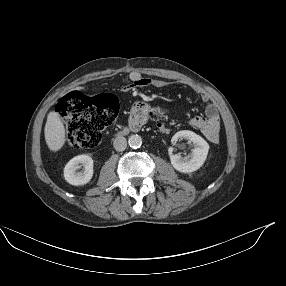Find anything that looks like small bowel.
I'll return each instance as SVG.
<instances>
[{"instance_id":"obj_1","label":"small bowel","mask_w":286,"mask_h":286,"mask_svg":"<svg viewBox=\"0 0 286 286\" xmlns=\"http://www.w3.org/2000/svg\"><path fill=\"white\" fill-rule=\"evenodd\" d=\"M128 83L123 87V91L125 92H134L139 88L144 87H153V88H161L165 86V82L159 79H150L142 76L138 72H131L128 75ZM195 91L200 96L202 101L207 103L206 106V115L205 116H195L189 119V125L198 130L199 132L202 131V128L209 123L217 124L220 127V115L216 105L212 102L210 95L201 88H195ZM134 105L137 106L139 109L143 110H155L160 112L161 114L167 115L169 110L164 106L156 105L155 103H147L145 100L135 99ZM160 132L162 133H169L170 129L166 125L165 127H159ZM219 142V141H218ZM217 142V143H218Z\"/></svg>"}]
</instances>
